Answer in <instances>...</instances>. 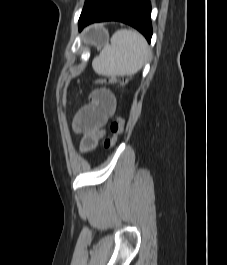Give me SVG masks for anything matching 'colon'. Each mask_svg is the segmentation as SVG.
<instances>
[{"mask_svg": "<svg viewBox=\"0 0 227 265\" xmlns=\"http://www.w3.org/2000/svg\"><path fill=\"white\" fill-rule=\"evenodd\" d=\"M98 83L104 84H116L119 86H125L126 80L121 78H116L112 76L104 77L97 80ZM111 137L106 139L104 146L106 149H112L119 137L124 133L125 120L121 116H117L111 124Z\"/></svg>", "mask_w": 227, "mask_h": 265, "instance_id": "obj_1", "label": "colon"}]
</instances>
